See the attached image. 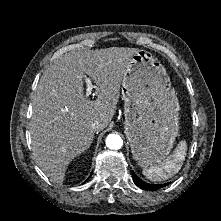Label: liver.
Returning <instances> with one entry per match:
<instances>
[{
	"mask_svg": "<svg viewBox=\"0 0 221 221\" xmlns=\"http://www.w3.org/2000/svg\"><path fill=\"white\" fill-rule=\"evenodd\" d=\"M137 48L82 49L62 55L45 70L32 98V154L46 176L62 184L70 162L94 139L92 123L105 129L120 98L127 63ZM95 83L96 100L84 94V77Z\"/></svg>",
	"mask_w": 221,
	"mask_h": 221,
	"instance_id": "6515ba94",
	"label": "liver"
}]
</instances>
